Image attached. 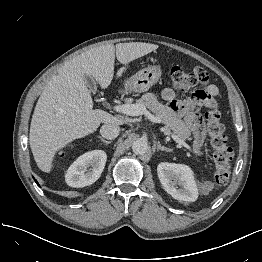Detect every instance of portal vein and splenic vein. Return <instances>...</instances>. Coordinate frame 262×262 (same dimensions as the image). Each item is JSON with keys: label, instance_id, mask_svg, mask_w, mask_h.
Masks as SVG:
<instances>
[{"label": "portal vein and splenic vein", "instance_id": "1", "mask_svg": "<svg viewBox=\"0 0 262 262\" xmlns=\"http://www.w3.org/2000/svg\"><path fill=\"white\" fill-rule=\"evenodd\" d=\"M113 110L124 114L128 116H139V115H145L150 121L154 123H160L161 120L151 114L145 106L140 104H120L113 107ZM171 137L174 141H176L179 145L187 148L188 150H191V147L184 142V140L180 139L174 134H171Z\"/></svg>", "mask_w": 262, "mask_h": 262}]
</instances>
